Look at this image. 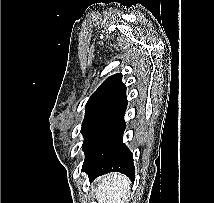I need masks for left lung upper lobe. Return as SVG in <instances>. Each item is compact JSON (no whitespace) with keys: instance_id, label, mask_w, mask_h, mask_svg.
Returning <instances> with one entry per match:
<instances>
[{"instance_id":"obj_1","label":"left lung upper lobe","mask_w":214,"mask_h":203,"mask_svg":"<svg viewBox=\"0 0 214 203\" xmlns=\"http://www.w3.org/2000/svg\"><path fill=\"white\" fill-rule=\"evenodd\" d=\"M126 88L122 83V74L108 77L90 96L86 104V113L82 123L83 136L96 118L121 94Z\"/></svg>"}]
</instances>
